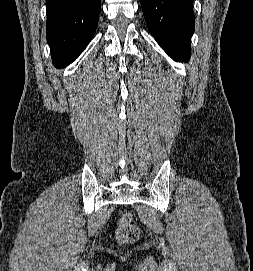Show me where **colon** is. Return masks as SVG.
Wrapping results in <instances>:
<instances>
[{"label":"colon","instance_id":"colon-1","mask_svg":"<svg viewBox=\"0 0 253 271\" xmlns=\"http://www.w3.org/2000/svg\"><path fill=\"white\" fill-rule=\"evenodd\" d=\"M140 230L133 223L132 214L129 212H124L119 220L116 230V238L121 244H131L139 239Z\"/></svg>","mask_w":253,"mask_h":271}]
</instances>
